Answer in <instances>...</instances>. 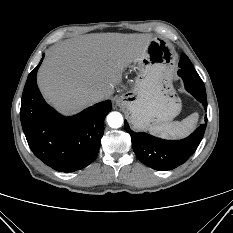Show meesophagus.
<instances>
[{"label":"esophagus","mask_w":233,"mask_h":233,"mask_svg":"<svg viewBox=\"0 0 233 233\" xmlns=\"http://www.w3.org/2000/svg\"><path fill=\"white\" fill-rule=\"evenodd\" d=\"M127 101L123 97H119L116 99V105L118 107H124L126 105Z\"/></svg>","instance_id":"obj_1"}]
</instances>
